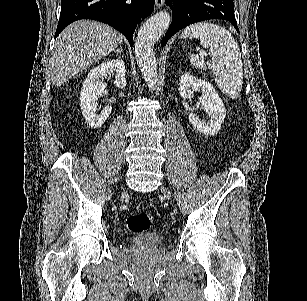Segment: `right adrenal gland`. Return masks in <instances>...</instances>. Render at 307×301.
Wrapping results in <instances>:
<instances>
[{"mask_svg": "<svg viewBox=\"0 0 307 301\" xmlns=\"http://www.w3.org/2000/svg\"><path fill=\"white\" fill-rule=\"evenodd\" d=\"M114 52H120V54H123V46H120V48H116Z\"/></svg>", "mask_w": 307, "mask_h": 301, "instance_id": "1", "label": "right adrenal gland"}]
</instances>
